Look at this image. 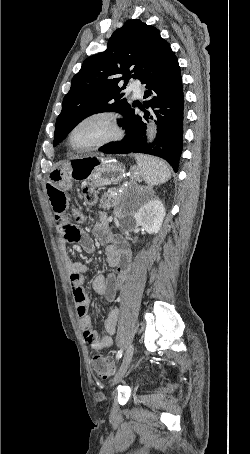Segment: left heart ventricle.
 Listing matches in <instances>:
<instances>
[{
	"label": "left heart ventricle",
	"instance_id": "b2bd125f",
	"mask_svg": "<svg viewBox=\"0 0 250 454\" xmlns=\"http://www.w3.org/2000/svg\"><path fill=\"white\" fill-rule=\"evenodd\" d=\"M109 132L108 126L104 121H94L79 128L73 136V144L77 147L90 145Z\"/></svg>",
	"mask_w": 250,
	"mask_h": 454
}]
</instances>
